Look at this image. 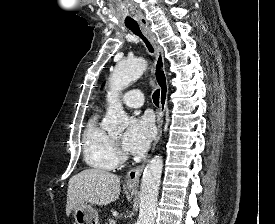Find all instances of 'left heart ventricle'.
<instances>
[{
  "mask_svg": "<svg viewBox=\"0 0 275 224\" xmlns=\"http://www.w3.org/2000/svg\"><path fill=\"white\" fill-rule=\"evenodd\" d=\"M114 137H115V138H118V137H119V135H115Z\"/></svg>",
  "mask_w": 275,
  "mask_h": 224,
  "instance_id": "obj_1",
  "label": "left heart ventricle"
}]
</instances>
